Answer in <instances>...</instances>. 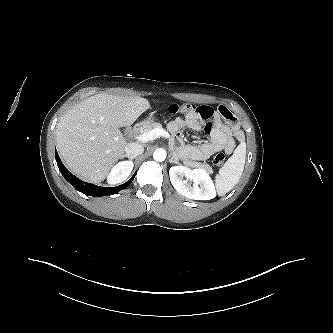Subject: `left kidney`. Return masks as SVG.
Here are the masks:
<instances>
[{
  "label": "left kidney",
  "mask_w": 333,
  "mask_h": 333,
  "mask_svg": "<svg viewBox=\"0 0 333 333\" xmlns=\"http://www.w3.org/2000/svg\"><path fill=\"white\" fill-rule=\"evenodd\" d=\"M170 181L176 191L189 199L210 200L216 197V190L210 173L205 169L191 170L185 166H173L169 170ZM194 182L191 186L188 181Z\"/></svg>",
  "instance_id": "5707ae66"
}]
</instances>
